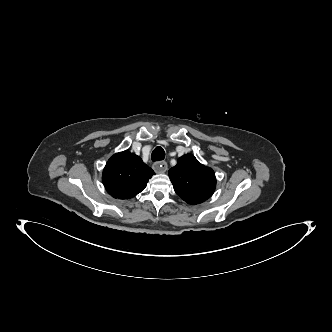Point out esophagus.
<instances>
[{"label":"esophagus","mask_w":332,"mask_h":332,"mask_svg":"<svg viewBox=\"0 0 332 332\" xmlns=\"http://www.w3.org/2000/svg\"><path fill=\"white\" fill-rule=\"evenodd\" d=\"M167 168H168V166L165 161H158V162L154 163V165H153V169L157 173H165L167 171Z\"/></svg>","instance_id":"obj_1"}]
</instances>
